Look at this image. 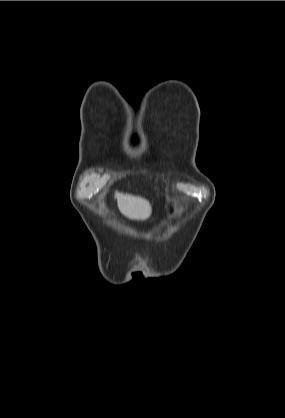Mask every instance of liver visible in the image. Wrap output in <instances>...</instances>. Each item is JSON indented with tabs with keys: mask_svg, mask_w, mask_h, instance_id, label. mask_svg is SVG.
<instances>
[{
	"mask_svg": "<svg viewBox=\"0 0 285 418\" xmlns=\"http://www.w3.org/2000/svg\"><path fill=\"white\" fill-rule=\"evenodd\" d=\"M119 211L132 220H146L150 217L152 208L150 203L141 197L116 192Z\"/></svg>",
	"mask_w": 285,
	"mask_h": 418,
	"instance_id": "6515ba94",
	"label": "liver"
}]
</instances>
